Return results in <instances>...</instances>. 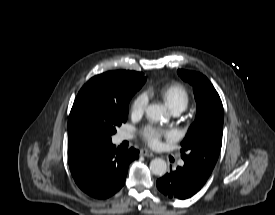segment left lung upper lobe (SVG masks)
<instances>
[{"label":"left lung upper lobe","instance_id":"1","mask_svg":"<svg viewBox=\"0 0 275 215\" xmlns=\"http://www.w3.org/2000/svg\"><path fill=\"white\" fill-rule=\"evenodd\" d=\"M193 86L197 103L194 123L181 143L184 163L212 172L222 145L223 105L211 82L198 72L178 70Z\"/></svg>","mask_w":275,"mask_h":215}]
</instances>
